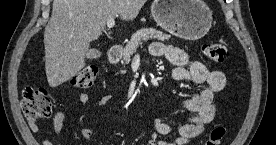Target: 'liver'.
<instances>
[{
	"label": "liver",
	"instance_id": "obj_1",
	"mask_svg": "<svg viewBox=\"0 0 276 145\" xmlns=\"http://www.w3.org/2000/svg\"><path fill=\"white\" fill-rule=\"evenodd\" d=\"M146 0H54L44 32L45 70L50 87L68 81L85 66L90 42L99 38L107 21H131Z\"/></svg>",
	"mask_w": 276,
	"mask_h": 145
}]
</instances>
